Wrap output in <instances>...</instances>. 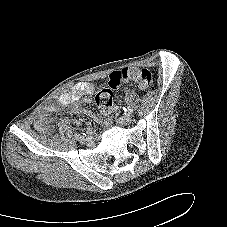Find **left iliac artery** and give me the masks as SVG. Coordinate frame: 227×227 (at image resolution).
Returning <instances> with one entry per match:
<instances>
[{"instance_id":"left-iliac-artery-1","label":"left iliac artery","mask_w":227,"mask_h":227,"mask_svg":"<svg viewBox=\"0 0 227 227\" xmlns=\"http://www.w3.org/2000/svg\"><path fill=\"white\" fill-rule=\"evenodd\" d=\"M124 110L126 114H131L134 111L133 107L131 106H127L126 108H124Z\"/></svg>"}]
</instances>
